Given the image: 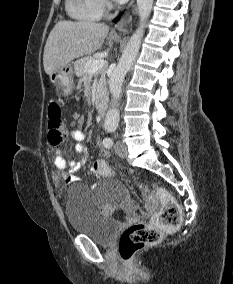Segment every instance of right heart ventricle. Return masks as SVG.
Returning <instances> with one entry per match:
<instances>
[{
    "label": "right heart ventricle",
    "instance_id": "e07e8e85",
    "mask_svg": "<svg viewBox=\"0 0 233 284\" xmlns=\"http://www.w3.org/2000/svg\"><path fill=\"white\" fill-rule=\"evenodd\" d=\"M66 10L75 20L97 21L103 15V0H66Z\"/></svg>",
    "mask_w": 233,
    "mask_h": 284
}]
</instances>
